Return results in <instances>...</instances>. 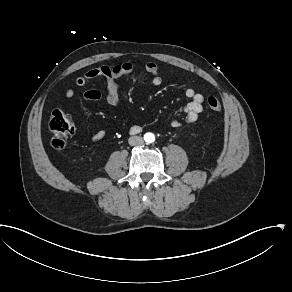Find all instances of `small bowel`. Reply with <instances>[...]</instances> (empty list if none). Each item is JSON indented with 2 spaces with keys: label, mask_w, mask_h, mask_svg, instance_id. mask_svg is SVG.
Listing matches in <instances>:
<instances>
[{
  "label": "small bowel",
  "mask_w": 292,
  "mask_h": 292,
  "mask_svg": "<svg viewBox=\"0 0 292 292\" xmlns=\"http://www.w3.org/2000/svg\"><path fill=\"white\" fill-rule=\"evenodd\" d=\"M133 65L129 62L118 63L112 66H99L89 69L75 79V84L79 87L85 86L89 81L96 78H104L106 81V92L102 94L99 90L91 89L84 92L83 97L86 100L97 101L102 98L112 108L121 106L118 96L119 80L131 74ZM145 71L151 76L152 83L155 86L162 84V77L159 75L158 67L154 62H148L145 65ZM185 95L189 98V102L182 108L180 114H173L168 117L167 123L173 128L180 127L184 124L194 123L203 111L204 97L198 93L193 87L185 89ZM67 98H73L75 91L71 88L65 92ZM105 131H98L88 135L92 141H100L105 137Z\"/></svg>",
  "instance_id": "obj_1"
}]
</instances>
